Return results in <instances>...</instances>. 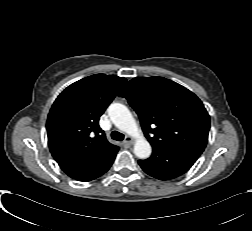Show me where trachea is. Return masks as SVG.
Instances as JSON below:
<instances>
[{
    "label": "trachea",
    "mask_w": 252,
    "mask_h": 231,
    "mask_svg": "<svg viewBox=\"0 0 252 231\" xmlns=\"http://www.w3.org/2000/svg\"><path fill=\"white\" fill-rule=\"evenodd\" d=\"M111 137L112 139L117 140V141H122L124 139V135L118 131H113L111 133Z\"/></svg>",
    "instance_id": "trachea-1"
}]
</instances>
